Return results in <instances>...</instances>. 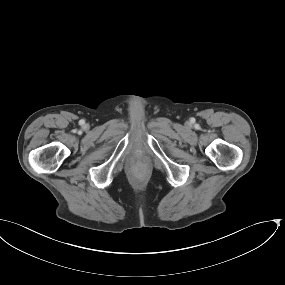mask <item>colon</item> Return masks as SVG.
Returning a JSON list of instances; mask_svg holds the SVG:
<instances>
[{"label": "colon", "mask_w": 285, "mask_h": 285, "mask_svg": "<svg viewBox=\"0 0 285 285\" xmlns=\"http://www.w3.org/2000/svg\"><path fill=\"white\" fill-rule=\"evenodd\" d=\"M137 170H138L139 173H143V168L142 167H138Z\"/></svg>", "instance_id": "1"}]
</instances>
